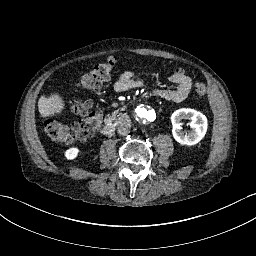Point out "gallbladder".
Segmentation results:
<instances>
[{"mask_svg": "<svg viewBox=\"0 0 256 256\" xmlns=\"http://www.w3.org/2000/svg\"><path fill=\"white\" fill-rule=\"evenodd\" d=\"M86 109H89V106L88 105H85Z\"/></svg>", "mask_w": 256, "mask_h": 256, "instance_id": "bac80fb5", "label": "gallbladder"}]
</instances>
